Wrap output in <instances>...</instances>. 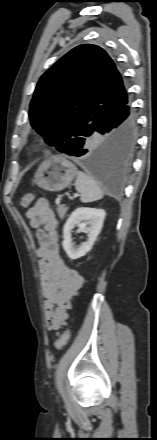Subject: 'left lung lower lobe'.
I'll return each mask as SVG.
<instances>
[{
  "label": "left lung lower lobe",
  "mask_w": 157,
  "mask_h": 440,
  "mask_svg": "<svg viewBox=\"0 0 157 440\" xmlns=\"http://www.w3.org/2000/svg\"><path fill=\"white\" fill-rule=\"evenodd\" d=\"M137 132L136 116L129 98L109 111L97 124L95 134L104 136L94 151L80 141L62 153L78 157L83 167L110 182H119L130 167V156Z\"/></svg>",
  "instance_id": "1"
}]
</instances>
